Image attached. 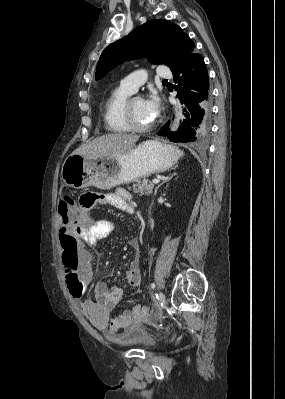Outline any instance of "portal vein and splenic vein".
Returning <instances> with one entry per match:
<instances>
[{
    "instance_id": "18ae733b",
    "label": "portal vein and splenic vein",
    "mask_w": 285,
    "mask_h": 399,
    "mask_svg": "<svg viewBox=\"0 0 285 399\" xmlns=\"http://www.w3.org/2000/svg\"><path fill=\"white\" fill-rule=\"evenodd\" d=\"M159 182H160L159 179H153V180H152V183H153V184H158Z\"/></svg>"
}]
</instances>
